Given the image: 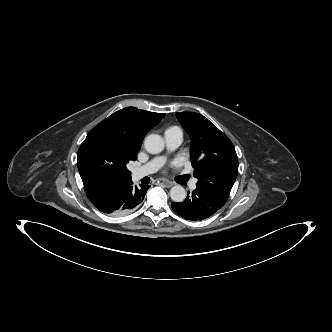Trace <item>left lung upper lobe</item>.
Segmentation results:
<instances>
[{
	"instance_id": "obj_1",
	"label": "left lung upper lobe",
	"mask_w": 332,
	"mask_h": 332,
	"mask_svg": "<svg viewBox=\"0 0 332 332\" xmlns=\"http://www.w3.org/2000/svg\"><path fill=\"white\" fill-rule=\"evenodd\" d=\"M192 140L196 188L225 204L238 174V158L229 138L198 113H176Z\"/></svg>"
}]
</instances>
